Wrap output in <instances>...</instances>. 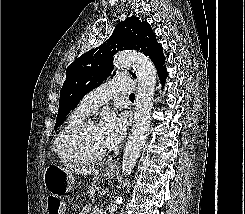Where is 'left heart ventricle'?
<instances>
[{
  "label": "left heart ventricle",
  "instance_id": "1",
  "mask_svg": "<svg viewBox=\"0 0 245 214\" xmlns=\"http://www.w3.org/2000/svg\"><path fill=\"white\" fill-rule=\"evenodd\" d=\"M81 146L89 155H98L107 151L97 125H91L83 132Z\"/></svg>",
  "mask_w": 245,
  "mask_h": 214
}]
</instances>
